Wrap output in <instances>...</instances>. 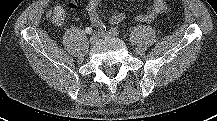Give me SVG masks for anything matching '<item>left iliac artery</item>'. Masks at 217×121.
<instances>
[{"mask_svg":"<svg viewBox=\"0 0 217 121\" xmlns=\"http://www.w3.org/2000/svg\"><path fill=\"white\" fill-rule=\"evenodd\" d=\"M110 32H112L113 34H115L116 36L119 35L120 31L117 27H112L110 29Z\"/></svg>","mask_w":217,"mask_h":121,"instance_id":"obj_1","label":"left iliac artery"}]
</instances>
